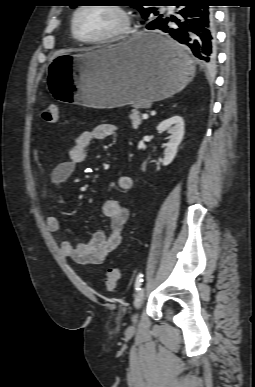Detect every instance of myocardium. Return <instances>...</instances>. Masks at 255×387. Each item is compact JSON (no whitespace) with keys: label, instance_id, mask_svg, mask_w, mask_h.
<instances>
[{"label":"myocardium","instance_id":"1","mask_svg":"<svg viewBox=\"0 0 255 387\" xmlns=\"http://www.w3.org/2000/svg\"><path fill=\"white\" fill-rule=\"evenodd\" d=\"M92 6H102L109 8L113 11H115L120 19H121V24L120 26L113 31L112 33L99 37V38H94V39H88L82 37L77 29V17L80 14L81 11H83L86 8L92 7ZM131 24H132V18L128 10L121 6V5H116V4H109V5H81L77 7L73 13L72 19H71V31L73 36L81 43L84 44H90V45H100V44H109V43H115L122 41L125 39L131 32Z\"/></svg>","mask_w":255,"mask_h":387}]
</instances>
